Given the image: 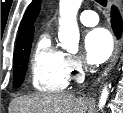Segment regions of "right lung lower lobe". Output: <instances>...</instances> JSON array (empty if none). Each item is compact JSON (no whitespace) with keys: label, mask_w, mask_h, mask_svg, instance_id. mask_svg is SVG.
I'll use <instances>...</instances> for the list:
<instances>
[{"label":"right lung lower lobe","mask_w":123,"mask_h":113,"mask_svg":"<svg viewBox=\"0 0 123 113\" xmlns=\"http://www.w3.org/2000/svg\"><path fill=\"white\" fill-rule=\"evenodd\" d=\"M111 24L115 35L120 37L122 31V20L116 7H112L111 9Z\"/></svg>","instance_id":"98d812e1"}]
</instances>
